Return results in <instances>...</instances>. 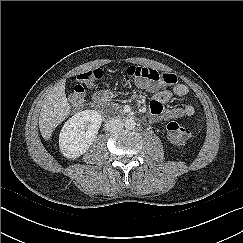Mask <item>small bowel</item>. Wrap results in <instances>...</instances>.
<instances>
[{"mask_svg": "<svg viewBox=\"0 0 243 243\" xmlns=\"http://www.w3.org/2000/svg\"><path fill=\"white\" fill-rule=\"evenodd\" d=\"M93 85V84H92ZM138 86L147 90L151 96L150 102V119L153 121L171 120L188 118L194 114L192 105L186 104L183 106L168 108L167 104L171 101L173 94L179 97H184L188 94V87L184 84H177L172 90L159 89L155 86L138 83ZM110 95L107 91H99L95 93L94 100H106Z\"/></svg>", "mask_w": 243, "mask_h": 243, "instance_id": "1", "label": "small bowel"}]
</instances>
